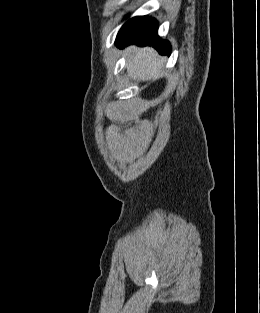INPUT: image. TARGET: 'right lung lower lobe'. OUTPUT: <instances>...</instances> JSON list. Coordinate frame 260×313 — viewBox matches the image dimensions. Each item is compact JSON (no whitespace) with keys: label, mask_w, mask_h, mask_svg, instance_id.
<instances>
[{"label":"right lung lower lobe","mask_w":260,"mask_h":313,"mask_svg":"<svg viewBox=\"0 0 260 313\" xmlns=\"http://www.w3.org/2000/svg\"><path fill=\"white\" fill-rule=\"evenodd\" d=\"M157 29L158 23L155 19L147 16L134 17L122 26L117 35L116 44L120 48L129 44L151 45L160 54H170L169 42L158 37Z\"/></svg>","instance_id":"1"}]
</instances>
